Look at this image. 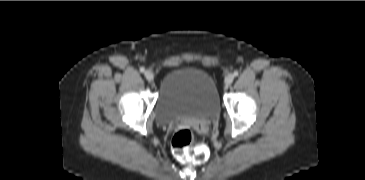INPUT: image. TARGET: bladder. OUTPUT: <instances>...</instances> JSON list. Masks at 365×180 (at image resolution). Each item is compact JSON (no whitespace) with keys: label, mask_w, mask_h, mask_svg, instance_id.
I'll list each match as a JSON object with an SVG mask.
<instances>
[{"label":"bladder","mask_w":365,"mask_h":180,"mask_svg":"<svg viewBox=\"0 0 365 180\" xmlns=\"http://www.w3.org/2000/svg\"><path fill=\"white\" fill-rule=\"evenodd\" d=\"M219 110L217 84L208 72L182 66L171 69L162 78L155 104V117L160 124L208 120Z\"/></svg>","instance_id":"31cf9c89"}]
</instances>
